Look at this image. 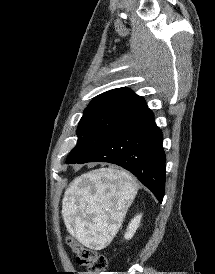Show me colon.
Instances as JSON below:
<instances>
[{
  "label": "colon",
  "instance_id": "obj_1",
  "mask_svg": "<svg viewBox=\"0 0 215 274\" xmlns=\"http://www.w3.org/2000/svg\"><path fill=\"white\" fill-rule=\"evenodd\" d=\"M69 245L76 254L77 263L87 268V274H104L106 272L108 263L103 254L75 241H70Z\"/></svg>",
  "mask_w": 215,
  "mask_h": 274
}]
</instances>
